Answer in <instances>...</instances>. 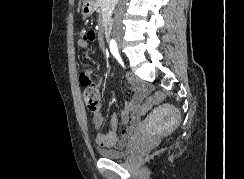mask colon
Returning a JSON list of instances; mask_svg holds the SVG:
<instances>
[{"label": "colon", "instance_id": "5ec220e1", "mask_svg": "<svg viewBox=\"0 0 244 179\" xmlns=\"http://www.w3.org/2000/svg\"><path fill=\"white\" fill-rule=\"evenodd\" d=\"M164 93H155V96H147L146 104H139V109H152V105L158 104L163 101ZM84 100L87 110L90 113L96 114L100 103H99V92L95 87H87L84 89ZM139 116H150V111H139Z\"/></svg>", "mask_w": 244, "mask_h": 179}]
</instances>
